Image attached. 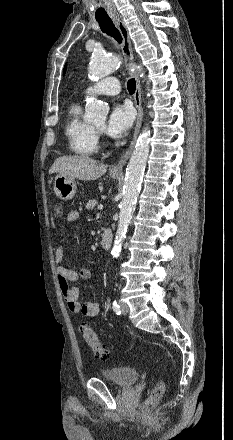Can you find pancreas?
Returning a JSON list of instances; mask_svg holds the SVG:
<instances>
[{
  "label": "pancreas",
  "mask_w": 233,
  "mask_h": 440,
  "mask_svg": "<svg viewBox=\"0 0 233 440\" xmlns=\"http://www.w3.org/2000/svg\"><path fill=\"white\" fill-rule=\"evenodd\" d=\"M97 205V200L95 199H91L88 201V203L86 204V209L90 210V209H94V207Z\"/></svg>",
  "instance_id": "obj_1"
}]
</instances>
